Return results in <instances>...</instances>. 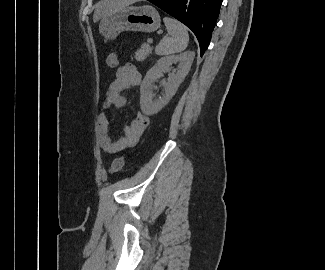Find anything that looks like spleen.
<instances>
[{"label": "spleen", "instance_id": "spleen-1", "mask_svg": "<svg viewBox=\"0 0 325 270\" xmlns=\"http://www.w3.org/2000/svg\"><path fill=\"white\" fill-rule=\"evenodd\" d=\"M163 21L169 36L160 41L155 48V53L157 55H170L184 51L189 42L187 28L169 17H165Z\"/></svg>", "mask_w": 325, "mask_h": 270}]
</instances>
